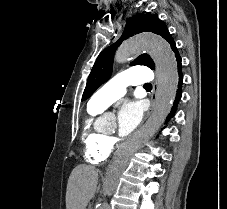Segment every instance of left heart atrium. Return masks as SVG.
I'll return each mask as SVG.
<instances>
[{
    "label": "left heart atrium",
    "mask_w": 227,
    "mask_h": 209,
    "mask_svg": "<svg viewBox=\"0 0 227 209\" xmlns=\"http://www.w3.org/2000/svg\"><path fill=\"white\" fill-rule=\"evenodd\" d=\"M143 116V106L135 100L124 101L118 113L119 131L129 135L140 123Z\"/></svg>",
    "instance_id": "obj_1"
}]
</instances>
